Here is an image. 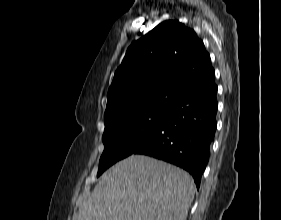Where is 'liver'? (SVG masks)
<instances>
[{
    "instance_id": "obj_1",
    "label": "liver",
    "mask_w": 281,
    "mask_h": 220,
    "mask_svg": "<svg viewBox=\"0 0 281 220\" xmlns=\"http://www.w3.org/2000/svg\"><path fill=\"white\" fill-rule=\"evenodd\" d=\"M194 193L183 169L131 155L102 175L72 220H186Z\"/></svg>"
}]
</instances>
